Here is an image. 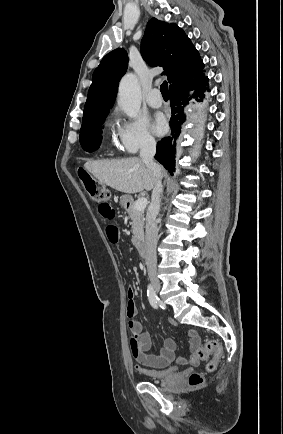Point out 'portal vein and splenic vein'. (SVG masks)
<instances>
[{
	"label": "portal vein and splenic vein",
	"instance_id": "1",
	"mask_svg": "<svg viewBox=\"0 0 283 434\" xmlns=\"http://www.w3.org/2000/svg\"><path fill=\"white\" fill-rule=\"evenodd\" d=\"M148 204V201L145 197L139 198L135 204H134V208L138 211H144V209L146 208Z\"/></svg>",
	"mask_w": 283,
	"mask_h": 434
}]
</instances>
